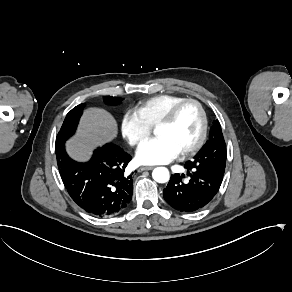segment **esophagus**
Here are the masks:
<instances>
[{
	"label": "esophagus",
	"mask_w": 292,
	"mask_h": 292,
	"mask_svg": "<svg viewBox=\"0 0 292 292\" xmlns=\"http://www.w3.org/2000/svg\"><path fill=\"white\" fill-rule=\"evenodd\" d=\"M152 169H154L153 166H143V167H140L138 169V172H142V171H145V170H152Z\"/></svg>",
	"instance_id": "1"
}]
</instances>
